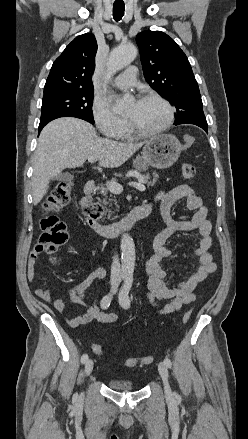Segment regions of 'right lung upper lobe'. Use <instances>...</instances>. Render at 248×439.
<instances>
[{"mask_svg": "<svg viewBox=\"0 0 248 439\" xmlns=\"http://www.w3.org/2000/svg\"><path fill=\"white\" fill-rule=\"evenodd\" d=\"M97 52L95 36H77L54 61L44 87V95L55 92L93 89L92 73Z\"/></svg>", "mask_w": 248, "mask_h": 439, "instance_id": "right-lung-upper-lobe-1", "label": "right lung upper lobe"}]
</instances>
